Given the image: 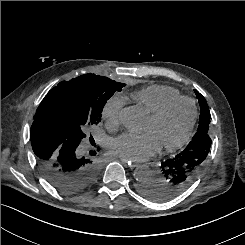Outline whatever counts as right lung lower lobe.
Masks as SVG:
<instances>
[{
  "label": "right lung lower lobe",
  "instance_id": "98d812e1",
  "mask_svg": "<svg viewBox=\"0 0 245 245\" xmlns=\"http://www.w3.org/2000/svg\"><path fill=\"white\" fill-rule=\"evenodd\" d=\"M31 144L42 174L62 193L85 190L99 174L97 160L82 155L80 143L66 137L45 120L38 119L32 124Z\"/></svg>",
  "mask_w": 245,
  "mask_h": 245
}]
</instances>
